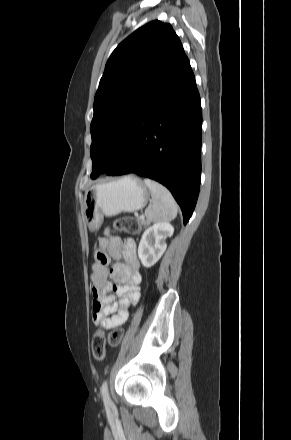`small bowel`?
<instances>
[{
    "instance_id": "1",
    "label": "small bowel",
    "mask_w": 291,
    "mask_h": 440,
    "mask_svg": "<svg viewBox=\"0 0 291 440\" xmlns=\"http://www.w3.org/2000/svg\"><path fill=\"white\" fill-rule=\"evenodd\" d=\"M110 258L116 260L111 267ZM89 277L94 296V323L105 330L124 324L140 298L141 275L135 240L120 241L106 230L95 250ZM110 291L113 293L107 294Z\"/></svg>"
}]
</instances>
